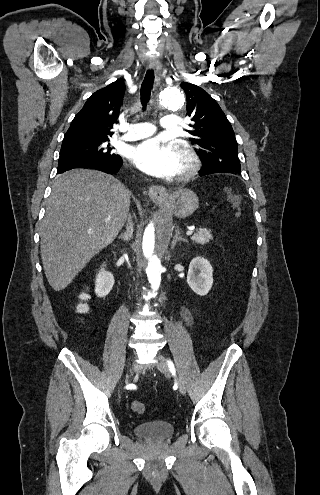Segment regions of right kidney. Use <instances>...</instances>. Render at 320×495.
<instances>
[{"label": "right kidney", "instance_id": "right-kidney-1", "mask_svg": "<svg viewBox=\"0 0 320 495\" xmlns=\"http://www.w3.org/2000/svg\"><path fill=\"white\" fill-rule=\"evenodd\" d=\"M95 283L96 295L103 298L111 292L115 283L114 276L111 272L106 271L103 266L96 276Z\"/></svg>", "mask_w": 320, "mask_h": 495}]
</instances>
